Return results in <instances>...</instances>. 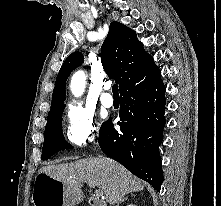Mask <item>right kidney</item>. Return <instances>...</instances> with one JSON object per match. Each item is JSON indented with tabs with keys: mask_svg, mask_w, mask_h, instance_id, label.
I'll use <instances>...</instances> for the list:
<instances>
[{
	"mask_svg": "<svg viewBox=\"0 0 221 206\" xmlns=\"http://www.w3.org/2000/svg\"><path fill=\"white\" fill-rule=\"evenodd\" d=\"M127 206H136V205L130 204V205H127Z\"/></svg>",
	"mask_w": 221,
	"mask_h": 206,
	"instance_id": "ca27d5eb",
	"label": "right kidney"
}]
</instances>
